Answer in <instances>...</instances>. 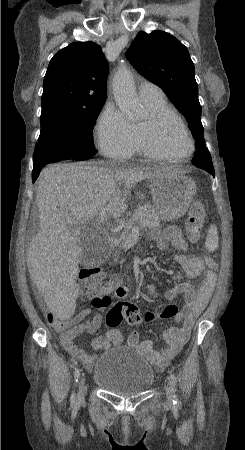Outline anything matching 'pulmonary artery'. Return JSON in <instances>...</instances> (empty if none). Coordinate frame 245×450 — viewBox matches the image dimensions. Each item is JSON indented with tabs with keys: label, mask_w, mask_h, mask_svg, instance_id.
<instances>
[{
	"label": "pulmonary artery",
	"mask_w": 245,
	"mask_h": 450,
	"mask_svg": "<svg viewBox=\"0 0 245 450\" xmlns=\"http://www.w3.org/2000/svg\"><path fill=\"white\" fill-rule=\"evenodd\" d=\"M138 95L142 102L156 101L165 98L163 91L155 84L144 81L138 86Z\"/></svg>",
	"instance_id": "pulmonary-artery-1"
}]
</instances>
